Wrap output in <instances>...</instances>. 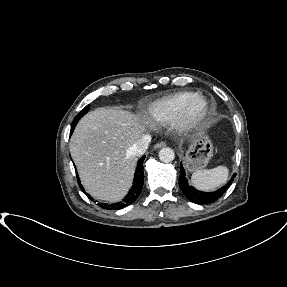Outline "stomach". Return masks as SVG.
Segmentation results:
<instances>
[{
	"label": "stomach",
	"mask_w": 287,
	"mask_h": 287,
	"mask_svg": "<svg viewBox=\"0 0 287 287\" xmlns=\"http://www.w3.org/2000/svg\"><path fill=\"white\" fill-rule=\"evenodd\" d=\"M213 156V145L208 136L200 135L188 146L184 163L188 170L198 171L207 166Z\"/></svg>",
	"instance_id": "0dacf381"
}]
</instances>
